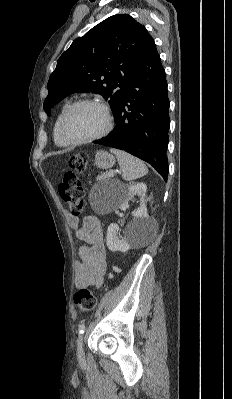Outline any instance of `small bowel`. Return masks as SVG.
<instances>
[{
    "label": "small bowel",
    "instance_id": "obj_1",
    "mask_svg": "<svg viewBox=\"0 0 232 399\" xmlns=\"http://www.w3.org/2000/svg\"><path fill=\"white\" fill-rule=\"evenodd\" d=\"M76 236L89 247L79 248L80 261L75 264L74 285L78 289H84L89 284L99 288L106 268L102 225L97 220L86 219L81 227L77 228Z\"/></svg>",
    "mask_w": 232,
    "mask_h": 399
}]
</instances>
